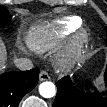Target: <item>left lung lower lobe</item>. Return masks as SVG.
<instances>
[{
    "label": "left lung lower lobe",
    "mask_w": 107,
    "mask_h": 107,
    "mask_svg": "<svg viewBox=\"0 0 107 107\" xmlns=\"http://www.w3.org/2000/svg\"><path fill=\"white\" fill-rule=\"evenodd\" d=\"M105 80L107 81V69ZM56 86L57 96L53 107H107V92L85 93L80 91L73 85L69 76L59 80ZM104 95L106 96L103 97Z\"/></svg>",
    "instance_id": "obj_1"
}]
</instances>
